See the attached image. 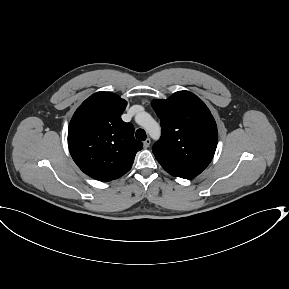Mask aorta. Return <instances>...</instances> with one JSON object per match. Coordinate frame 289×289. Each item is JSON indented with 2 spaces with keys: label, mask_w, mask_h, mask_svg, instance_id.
Returning a JSON list of instances; mask_svg holds the SVG:
<instances>
[{
  "label": "aorta",
  "mask_w": 289,
  "mask_h": 289,
  "mask_svg": "<svg viewBox=\"0 0 289 289\" xmlns=\"http://www.w3.org/2000/svg\"><path fill=\"white\" fill-rule=\"evenodd\" d=\"M136 122L141 125L153 139H158L161 134L159 124L146 112L136 116Z\"/></svg>",
  "instance_id": "762f6f07"
}]
</instances>
